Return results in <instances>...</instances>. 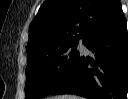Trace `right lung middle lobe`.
Segmentation results:
<instances>
[{"label":"right lung middle lobe","mask_w":128,"mask_h":99,"mask_svg":"<svg viewBox=\"0 0 128 99\" xmlns=\"http://www.w3.org/2000/svg\"><path fill=\"white\" fill-rule=\"evenodd\" d=\"M78 42L29 57L26 67L25 99L52 92L76 67L81 54Z\"/></svg>","instance_id":"obj_1"}]
</instances>
